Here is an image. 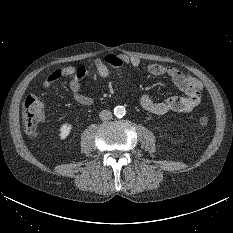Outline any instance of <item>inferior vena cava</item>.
<instances>
[{"instance_id": "1", "label": "inferior vena cava", "mask_w": 233, "mask_h": 233, "mask_svg": "<svg viewBox=\"0 0 233 233\" xmlns=\"http://www.w3.org/2000/svg\"><path fill=\"white\" fill-rule=\"evenodd\" d=\"M99 118L101 120H103V121L104 120H110L112 118V112L109 111V110H103V111L100 112Z\"/></svg>"}]
</instances>
